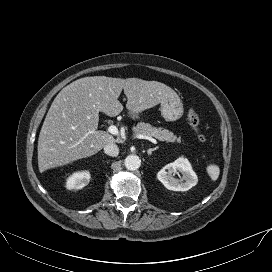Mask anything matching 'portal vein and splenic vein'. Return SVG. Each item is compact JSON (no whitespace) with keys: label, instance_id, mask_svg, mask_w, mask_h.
I'll use <instances>...</instances> for the list:
<instances>
[{"label":"portal vein and splenic vein","instance_id":"18ae733b","mask_svg":"<svg viewBox=\"0 0 272 272\" xmlns=\"http://www.w3.org/2000/svg\"><path fill=\"white\" fill-rule=\"evenodd\" d=\"M108 131H109L111 134L115 135V136H119V135H120V132H119L118 128H117L115 125H110V126L108 127ZM136 137L139 138V139H146V140H149V141L152 142L153 144H157V143H158L156 139H154V138H152V137H150V136H146V135H142V134H137Z\"/></svg>","mask_w":272,"mask_h":272}]
</instances>
